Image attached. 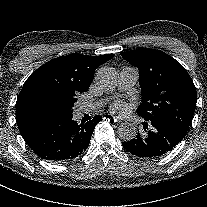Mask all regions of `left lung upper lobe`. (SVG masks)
I'll return each mask as SVG.
<instances>
[{
    "instance_id": "1",
    "label": "left lung upper lobe",
    "mask_w": 207,
    "mask_h": 207,
    "mask_svg": "<svg viewBox=\"0 0 207 207\" xmlns=\"http://www.w3.org/2000/svg\"><path fill=\"white\" fill-rule=\"evenodd\" d=\"M121 56L139 69L143 98L137 114L149 123L168 125L185 136L195 112L197 93L184 67L155 49L123 52Z\"/></svg>"
}]
</instances>
